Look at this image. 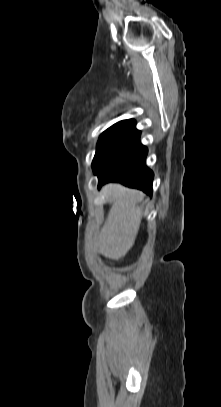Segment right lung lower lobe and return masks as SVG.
I'll use <instances>...</instances> for the list:
<instances>
[{
  "instance_id": "obj_1",
  "label": "right lung lower lobe",
  "mask_w": 221,
  "mask_h": 407,
  "mask_svg": "<svg viewBox=\"0 0 221 407\" xmlns=\"http://www.w3.org/2000/svg\"><path fill=\"white\" fill-rule=\"evenodd\" d=\"M140 131L133 135L98 175V187L120 182L152 196L153 172L146 166L148 150L140 141Z\"/></svg>"
}]
</instances>
